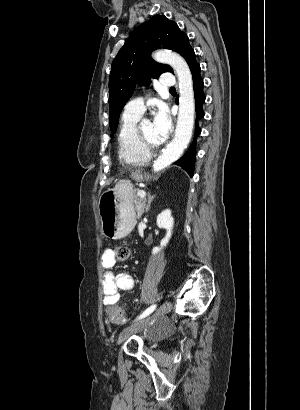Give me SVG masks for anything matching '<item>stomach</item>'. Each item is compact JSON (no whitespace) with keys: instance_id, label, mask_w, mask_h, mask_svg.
Listing matches in <instances>:
<instances>
[{"instance_id":"0dacf381","label":"stomach","mask_w":300,"mask_h":410,"mask_svg":"<svg viewBox=\"0 0 300 410\" xmlns=\"http://www.w3.org/2000/svg\"><path fill=\"white\" fill-rule=\"evenodd\" d=\"M135 180H142L138 172L132 174ZM133 190L129 181H120L113 189L105 191L99 198L98 211L101 231L107 239L127 236L135 226Z\"/></svg>"}]
</instances>
